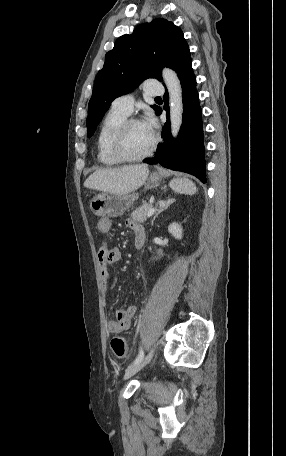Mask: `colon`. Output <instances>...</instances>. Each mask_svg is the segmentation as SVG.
Listing matches in <instances>:
<instances>
[{
	"mask_svg": "<svg viewBox=\"0 0 286 456\" xmlns=\"http://www.w3.org/2000/svg\"><path fill=\"white\" fill-rule=\"evenodd\" d=\"M111 348L114 355L118 358H124L127 355L128 347L123 337H115L111 340Z\"/></svg>",
	"mask_w": 286,
	"mask_h": 456,
	"instance_id": "obj_1",
	"label": "colon"
}]
</instances>
